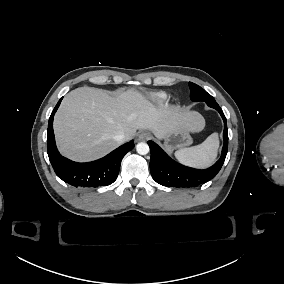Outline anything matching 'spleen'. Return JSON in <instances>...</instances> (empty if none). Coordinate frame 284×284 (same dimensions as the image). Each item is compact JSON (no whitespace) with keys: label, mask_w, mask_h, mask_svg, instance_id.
<instances>
[{"label":"spleen","mask_w":284,"mask_h":284,"mask_svg":"<svg viewBox=\"0 0 284 284\" xmlns=\"http://www.w3.org/2000/svg\"><path fill=\"white\" fill-rule=\"evenodd\" d=\"M218 148L219 136L218 133L215 132L197 146L176 151L175 157L184 165L196 168H206L215 162Z\"/></svg>","instance_id":"1"}]
</instances>
